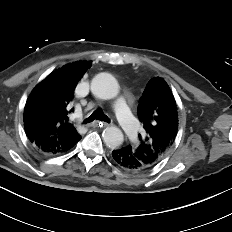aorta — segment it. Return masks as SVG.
I'll use <instances>...</instances> for the list:
<instances>
[{
    "mask_svg": "<svg viewBox=\"0 0 232 232\" xmlns=\"http://www.w3.org/2000/svg\"><path fill=\"white\" fill-rule=\"evenodd\" d=\"M91 92L100 99H113L119 93V84L111 74L100 73L91 82ZM102 136L106 146L111 149L119 147L124 141L122 131L116 126L105 128Z\"/></svg>",
    "mask_w": 232,
    "mask_h": 232,
    "instance_id": "1",
    "label": "aorta"
}]
</instances>
